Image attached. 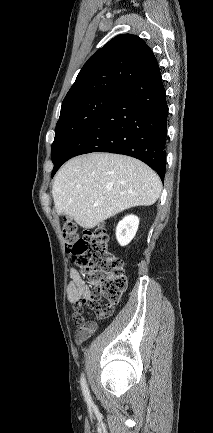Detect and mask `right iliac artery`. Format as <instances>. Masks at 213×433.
<instances>
[{
  "mask_svg": "<svg viewBox=\"0 0 213 433\" xmlns=\"http://www.w3.org/2000/svg\"><path fill=\"white\" fill-rule=\"evenodd\" d=\"M81 388H82V392H83V395L85 397L86 402L88 404H91L92 403L91 402V397H90L89 390H88V387H87V384H86V379H85V377H84L83 374L81 376Z\"/></svg>",
  "mask_w": 213,
  "mask_h": 433,
  "instance_id": "obj_1",
  "label": "right iliac artery"
}]
</instances>
